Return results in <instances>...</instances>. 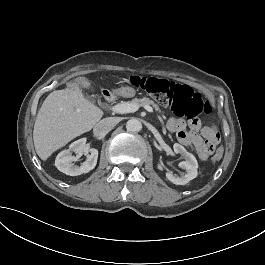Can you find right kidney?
Masks as SVG:
<instances>
[{
  "instance_id": "1",
  "label": "right kidney",
  "mask_w": 265,
  "mask_h": 265,
  "mask_svg": "<svg viewBox=\"0 0 265 265\" xmlns=\"http://www.w3.org/2000/svg\"><path fill=\"white\" fill-rule=\"evenodd\" d=\"M72 152L85 153L87 159L81 164V166L74 165L75 157L72 156ZM90 152V154H88ZM98 158V150L94 148H88L86 146V138H81L71 143L69 149L61 151L55 160V166L57 169L67 175L77 176L83 173H88L95 168Z\"/></svg>"
}]
</instances>
